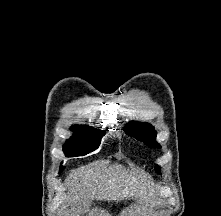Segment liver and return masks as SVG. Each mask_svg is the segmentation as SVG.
Returning a JSON list of instances; mask_svg holds the SVG:
<instances>
[{"label": "liver", "mask_w": 221, "mask_h": 216, "mask_svg": "<svg viewBox=\"0 0 221 216\" xmlns=\"http://www.w3.org/2000/svg\"><path fill=\"white\" fill-rule=\"evenodd\" d=\"M65 182L71 193L69 201L74 205L95 197L116 201L133 197L147 200L153 196L152 191L148 192L144 184L128 175L121 166L108 167L101 162L81 167Z\"/></svg>", "instance_id": "obj_1"}]
</instances>
